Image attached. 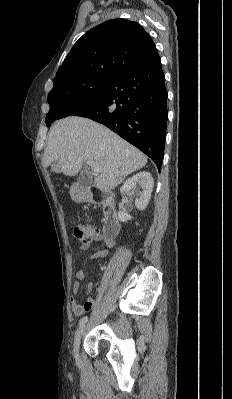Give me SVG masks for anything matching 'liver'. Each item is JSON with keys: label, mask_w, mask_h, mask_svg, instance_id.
<instances>
[{"label": "liver", "mask_w": 232, "mask_h": 399, "mask_svg": "<svg viewBox=\"0 0 232 399\" xmlns=\"http://www.w3.org/2000/svg\"><path fill=\"white\" fill-rule=\"evenodd\" d=\"M83 160H91L101 170L94 178V186L101 192L114 190L126 176L147 164L140 150L101 124L77 116L55 122L48 134L44 166H55L56 172L76 176Z\"/></svg>", "instance_id": "obj_1"}]
</instances>
